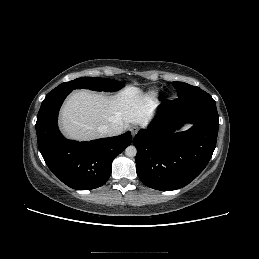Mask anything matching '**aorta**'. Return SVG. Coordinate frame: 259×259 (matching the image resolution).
<instances>
[{
    "label": "aorta",
    "mask_w": 259,
    "mask_h": 259,
    "mask_svg": "<svg viewBox=\"0 0 259 259\" xmlns=\"http://www.w3.org/2000/svg\"><path fill=\"white\" fill-rule=\"evenodd\" d=\"M136 153H137V150H136V147L133 146V145H130L126 148L125 150V154L128 156V157H134L136 156Z\"/></svg>",
    "instance_id": "762f6f07"
}]
</instances>
